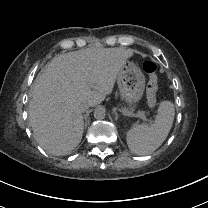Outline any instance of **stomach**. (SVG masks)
Returning a JSON list of instances; mask_svg holds the SVG:
<instances>
[{
	"label": "stomach",
	"mask_w": 208,
	"mask_h": 208,
	"mask_svg": "<svg viewBox=\"0 0 208 208\" xmlns=\"http://www.w3.org/2000/svg\"><path fill=\"white\" fill-rule=\"evenodd\" d=\"M117 83L122 99L131 106L143 95L145 76L136 64L126 60L117 74Z\"/></svg>",
	"instance_id": "stomach-1"
}]
</instances>
